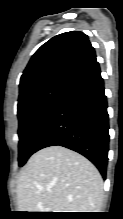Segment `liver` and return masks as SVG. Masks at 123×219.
I'll use <instances>...</instances> for the list:
<instances>
[{
  "label": "liver",
  "mask_w": 123,
  "mask_h": 219,
  "mask_svg": "<svg viewBox=\"0 0 123 219\" xmlns=\"http://www.w3.org/2000/svg\"><path fill=\"white\" fill-rule=\"evenodd\" d=\"M20 212H100L103 180L84 156L55 145L33 154L17 182Z\"/></svg>",
  "instance_id": "6515ba94"
}]
</instances>
